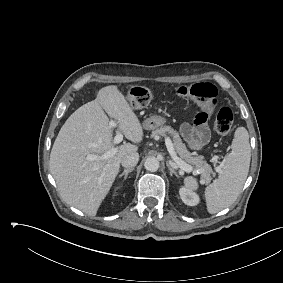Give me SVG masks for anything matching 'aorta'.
<instances>
[{"label":"aorta","instance_id":"obj_1","mask_svg":"<svg viewBox=\"0 0 283 283\" xmlns=\"http://www.w3.org/2000/svg\"><path fill=\"white\" fill-rule=\"evenodd\" d=\"M144 167L147 171L155 172L159 169V161L155 157H149L145 160Z\"/></svg>","mask_w":283,"mask_h":283}]
</instances>
